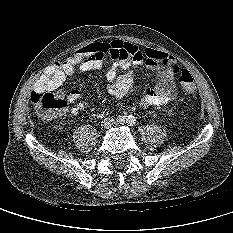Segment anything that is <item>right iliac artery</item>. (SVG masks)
I'll use <instances>...</instances> for the list:
<instances>
[{"label": "right iliac artery", "mask_w": 233, "mask_h": 233, "mask_svg": "<svg viewBox=\"0 0 233 233\" xmlns=\"http://www.w3.org/2000/svg\"><path fill=\"white\" fill-rule=\"evenodd\" d=\"M128 116H124V115H120L116 118V121L120 124H124L125 122H127Z\"/></svg>", "instance_id": "obj_1"}]
</instances>
